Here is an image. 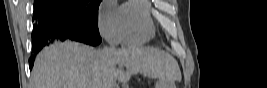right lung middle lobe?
<instances>
[{"instance_id":"right-lung-middle-lobe-1","label":"right lung middle lobe","mask_w":267,"mask_h":88,"mask_svg":"<svg viewBox=\"0 0 267 88\" xmlns=\"http://www.w3.org/2000/svg\"><path fill=\"white\" fill-rule=\"evenodd\" d=\"M36 0L34 5L40 4ZM48 5L56 6L87 26L97 27L98 7L101 0H45Z\"/></svg>"}]
</instances>
